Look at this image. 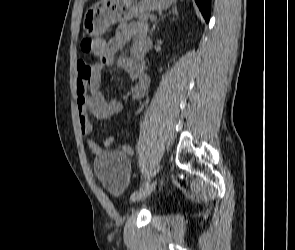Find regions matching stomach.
<instances>
[{
  "mask_svg": "<svg viewBox=\"0 0 295 250\" xmlns=\"http://www.w3.org/2000/svg\"><path fill=\"white\" fill-rule=\"evenodd\" d=\"M176 0H100L85 13L83 29L90 36L102 35L110 25L142 13L162 11Z\"/></svg>",
  "mask_w": 295,
  "mask_h": 250,
  "instance_id": "stomach-1",
  "label": "stomach"
}]
</instances>
